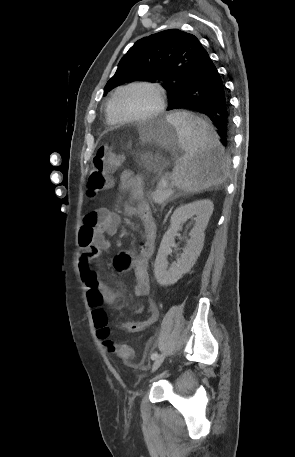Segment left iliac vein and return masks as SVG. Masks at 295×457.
I'll return each mask as SVG.
<instances>
[{
  "instance_id": "left-iliac-vein-1",
  "label": "left iliac vein",
  "mask_w": 295,
  "mask_h": 457,
  "mask_svg": "<svg viewBox=\"0 0 295 457\" xmlns=\"http://www.w3.org/2000/svg\"><path fill=\"white\" fill-rule=\"evenodd\" d=\"M164 358H165V354L158 355V357L154 360V363L152 365V372H154L155 370H157L159 368V366L164 361Z\"/></svg>"
}]
</instances>
